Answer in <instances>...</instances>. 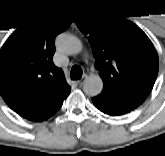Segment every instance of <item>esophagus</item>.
Returning a JSON list of instances; mask_svg holds the SVG:
<instances>
[{
  "label": "esophagus",
  "mask_w": 165,
  "mask_h": 156,
  "mask_svg": "<svg viewBox=\"0 0 165 156\" xmlns=\"http://www.w3.org/2000/svg\"><path fill=\"white\" fill-rule=\"evenodd\" d=\"M83 83H84V79L77 80V84L79 86L83 85Z\"/></svg>",
  "instance_id": "1"
}]
</instances>
